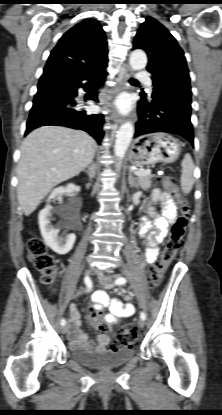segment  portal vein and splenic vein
Masks as SVG:
<instances>
[{"instance_id": "18ae733b", "label": "portal vein and splenic vein", "mask_w": 222, "mask_h": 415, "mask_svg": "<svg viewBox=\"0 0 222 415\" xmlns=\"http://www.w3.org/2000/svg\"><path fill=\"white\" fill-rule=\"evenodd\" d=\"M151 170L147 169V170H140V171H135L134 174L135 175H144V174H150Z\"/></svg>"}]
</instances>
